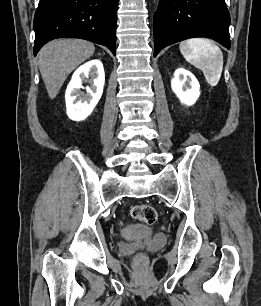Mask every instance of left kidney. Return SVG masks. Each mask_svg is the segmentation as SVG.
Listing matches in <instances>:
<instances>
[{
  "mask_svg": "<svg viewBox=\"0 0 261 306\" xmlns=\"http://www.w3.org/2000/svg\"><path fill=\"white\" fill-rule=\"evenodd\" d=\"M171 88L181 103L191 106L200 96V85L195 76L183 68L174 72Z\"/></svg>",
  "mask_w": 261,
  "mask_h": 306,
  "instance_id": "left-kidney-1",
  "label": "left kidney"
}]
</instances>
